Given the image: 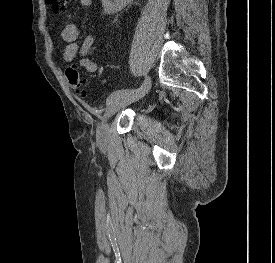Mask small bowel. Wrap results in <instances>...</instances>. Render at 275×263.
I'll use <instances>...</instances> for the list:
<instances>
[{
    "label": "small bowel",
    "instance_id": "obj_1",
    "mask_svg": "<svg viewBox=\"0 0 275 263\" xmlns=\"http://www.w3.org/2000/svg\"><path fill=\"white\" fill-rule=\"evenodd\" d=\"M79 5L82 8H89L92 5V0H79ZM62 39L67 43L63 59L65 62H72L77 56L79 58V66L88 73L94 74L98 71V64L88 58V55L94 44V37L89 35L83 41H79V29L73 23H68L62 28Z\"/></svg>",
    "mask_w": 275,
    "mask_h": 263
}]
</instances>
